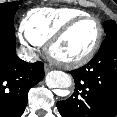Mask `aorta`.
Here are the masks:
<instances>
[{
  "label": "aorta",
  "mask_w": 117,
  "mask_h": 117,
  "mask_svg": "<svg viewBox=\"0 0 117 117\" xmlns=\"http://www.w3.org/2000/svg\"><path fill=\"white\" fill-rule=\"evenodd\" d=\"M46 85L49 88L61 91L60 95H63V90L72 85V78L62 71H51L46 76Z\"/></svg>",
  "instance_id": "obj_1"
}]
</instances>
